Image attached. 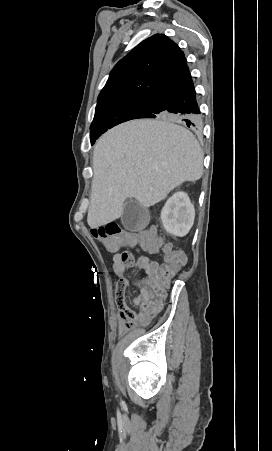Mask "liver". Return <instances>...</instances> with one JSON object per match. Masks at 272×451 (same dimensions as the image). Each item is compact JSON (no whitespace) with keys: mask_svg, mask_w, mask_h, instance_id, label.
<instances>
[{"mask_svg":"<svg viewBox=\"0 0 272 451\" xmlns=\"http://www.w3.org/2000/svg\"><path fill=\"white\" fill-rule=\"evenodd\" d=\"M93 174L87 222L105 226L122 216L127 198L150 208L183 182L200 180L203 152L175 116L132 120L99 138Z\"/></svg>","mask_w":272,"mask_h":451,"instance_id":"liver-1","label":"liver"}]
</instances>
